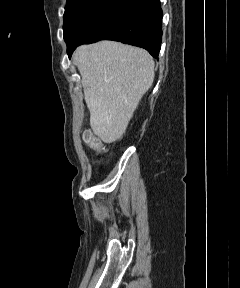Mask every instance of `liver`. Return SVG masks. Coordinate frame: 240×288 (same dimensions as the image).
Returning <instances> with one entry per match:
<instances>
[{"label":"liver","mask_w":240,"mask_h":288,"mask_svg":"<svg viewBox=\"0 0 240 288\" xmlns=\"http://www.w3.org/2000/svg\"><path fill=\"white\" fill-rule=\"evenodd\" d=\"M73 61L82 77L94 134L104 143L118 140L153 83V58L141 48L100 41L78 47Z\"/></svg>","instance_id":"1"}]
</instances>
